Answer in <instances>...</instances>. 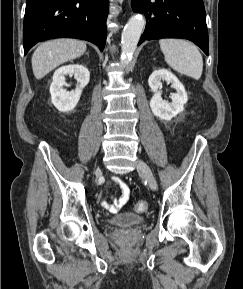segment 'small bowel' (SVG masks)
Wrapping results in <instances>:
<instances>
[{"mask_svg": "<svg viewBox=\"0 0 243 289\" xmlns=\"http://www.w3.org/2000/svg\"><path fill=\"white\" fill-rule=\"evenodd\" d=\"M110 184L115 185L121 192L119 197H113L111 201L103 200L102 207L112 213L118 212L127 203L129 198V188L127 184L119 177H112Z\"/></svg>", "mask_w": 243, "mask_h": 289, "instance_id": "obj_1", "label": "small bowel"}]
</instances>
